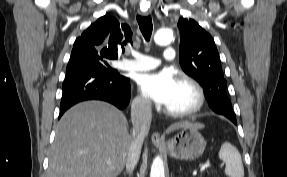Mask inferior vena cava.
<instances>
[{
  "label": "inferior vena cava",
  "mask_w": 287,
  "mask_h": 177,
  "mask_svg": "<svg viewBox=\"0 0 287 177\" xmlns=\"http://www.w3.org/2000/svg\"><path fill=\"white\" fill-rule=\"evenodd\" d=\"M152 119L151 101L139 98L131 105V120L133 124L132 143L126 161V171L131 173L140 157L141 147L149 133Z\"/></svg>",
  "instance_id": "1"
}]
</instances>
